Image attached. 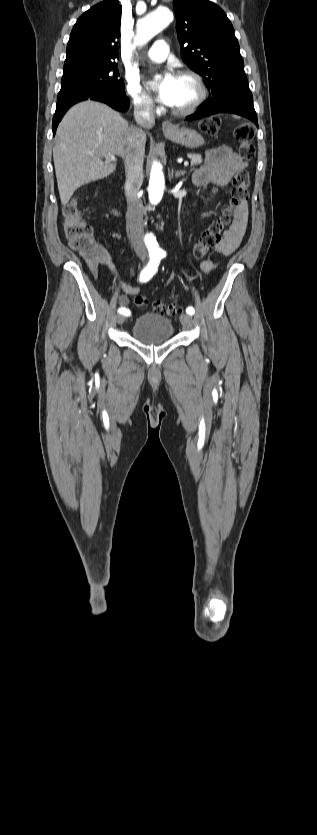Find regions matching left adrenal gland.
Here are the masks:
<instances>
[{
	"mask_svg": "<svg viewBox=\"0 0 317 835\" xmlns=\"http://www.w3.org/2000/svg\"><path fill=\"white\" fill-rule=\"evenodd\" d=\"M185 173H186L185 171H177V172L175 173V177H177V178H178L179 176H183Z\"/></svg>",
	"mask_w": 317,
	"mask_h": 835,
	"instance_id": "left-adrenal-gland-1",
	"label": "left adrenal gland"
}]
</instances>
